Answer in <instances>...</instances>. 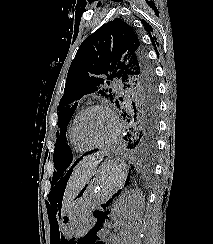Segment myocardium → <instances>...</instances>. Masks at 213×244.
I'll return each instance as SVG.
<instances>
[{
	"instance_id": "obj_1",
	"label": "myocardium",
	"mask_w": 213,
	"mask_h": 244,
	"mask_svg": "<svg viewBox=\"0 0 213 244\" xmlns=\"http://www.w3.org/2000/svg\"><path fill=\"white\" fill-rule=\"evenodd\" d=\"M92 110H103V111L107 112L114 122V126H115L114 132H113L112 136L104 142H100V143L88 142L81 134V131H80L81 123H82L84 117L86 116V114ZM120 131H121V122H120L119 118L108 105L103 104V103L92 104V105H89L86 108H84L80 112V114L75 122V127H74V132H75V135H76L78 141L81 144H83L85 147H87L88 149H101V148H105V147L112 145L117 140V138L120 134Z\"/></svg>"
}]
</instances>
